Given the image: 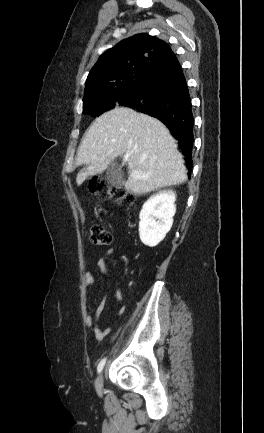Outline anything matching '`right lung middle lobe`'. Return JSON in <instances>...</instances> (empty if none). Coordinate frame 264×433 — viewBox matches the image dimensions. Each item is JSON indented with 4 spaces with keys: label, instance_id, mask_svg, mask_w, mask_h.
Segmentation results:
<instances>
[{
    "label": "right lung middle lobe",
    "instance_id": "obj_1",
    "mask_svg": "<svg viewBox=\"0 0 264 433\" xmlns=\"http://www.w3.org/2000/svg\"><path fill=\"white\" fill-rule=\"evenodd\" d=\"M141 85H133L115 90L97 98L83 99V113L93 117L118 106H123L131 100L140 90Z\"/></svg>",
    "mask_w": 264,
    "mask_h": 433
}]
</instances>
